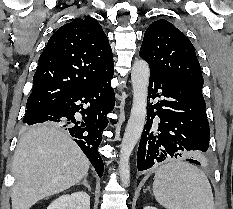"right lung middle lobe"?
Returning a JSON list of instances; mask_svg holds the SVG:
<instances>
[{
	"label": "right lung middle lobe",
	"instance_id": "dd1d6c3e",
	"mask_svg": "<svg viewBox=\"0 0 233 209\" xmlns=\"http://www.w3.org/2000/svg\"><path fill=\"white\" fill-rule=\"evenodd\" d=\"M46 105L43 104H31V103H27V110L23 119V123H25L26 121H28L29 119H31L38 111H40L43 107H45ZM53 126H58L55 123H50Z\"/></svg>",
	"mask_w": 233,
	"mask_h": 209
}]
</instances>
